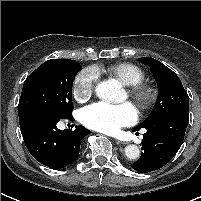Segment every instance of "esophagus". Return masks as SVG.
<instances>
[{"label": "esophagus", "mask_w": 201, "mask_h": 201, "mask_svg": "<svg viewBox=\"0 0 201 201\" xmlns=\"http://www.w3.org/2000/svg\"><path fill=\"white\" fill-rule=\"evenodd\" d=\"M115 141H116L117 144H123V145H124V144H127V142L120 141V140H117V139H116Z\"/></svg>", "instance_id": "34e87169"}]
</instances>
